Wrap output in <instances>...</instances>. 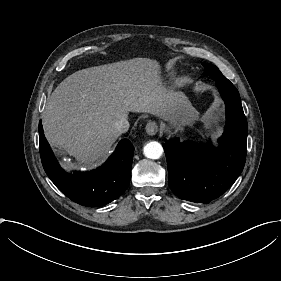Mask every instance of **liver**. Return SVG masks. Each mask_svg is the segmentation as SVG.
<instances>
[{
	"mask_svg": "<svg viewBox=\"0 0 281 281\" xmlns=\"http://www.w3.org/2000/svg\"><path fill=\"white\" fill-rule=\"evenodd\" d=\"M187 104L181 91L167 89L160 65L133 58L74 72L52 92L43 115L51 146L62 147L79 164L103 161L121 133L115 123L129 112L150 113L162 119Z\"/></svg>",
	"mask_w": 281,
	"mask_h": 281,
	"instance_id": "liver-1",
	"label": "liver"
}]
</instances>
